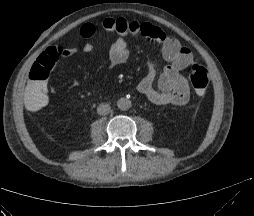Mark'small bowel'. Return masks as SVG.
Segmentation results:
<instances>
[{"label":"small bowel","mask_w":254,"mask_h":216,"mask_svg":"<svg viewBox=\"0 0 254 216\" xmlns=\"http://www.w3.org/2000/svg\"><path fill=\"white\" fill-rule=\"evenodd\" d=\"M102 28L108 32L117 33L116 38L108 48L109 62L112 66L124 64L129 56L126 35H141L161 44L162 54L167 61L159 76L153 64H150L145 77L138 84V91L150 102L156 105H185L190 99V89L182 71L193 62L191 50L182 45L176 38L166 34L161 28L147 23L127 19H105ZM97 32V25L85 23L80 28V35L91 38ZM61 49L60 59H65L78 52H92L98 46L85 43L78 47H56ZM40 57V56H39ZM48 96L56 93L55 87L49 82ZM49 102V101H48Z\"/></svg>","instance_id":"small-bowel-1"}]
</instances>
